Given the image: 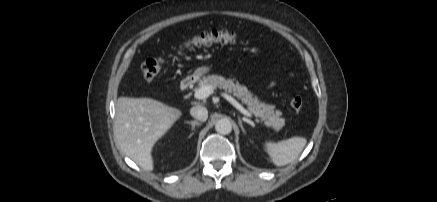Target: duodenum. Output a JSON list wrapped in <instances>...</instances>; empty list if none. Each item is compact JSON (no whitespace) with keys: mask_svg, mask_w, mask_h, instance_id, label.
<instances>
[{"mask_svg":"<svg viewBox=\"0 0 437 202\" xmlns=\"http://www.w3.org/2000/svg\"><path fill=\"white\" fill-rule=\"evenodd\" d=\"M194 82L195 79L192 76L184 78L180 83V90L182 92L187 91L193 85Z\"/></svg>","mask_w":437,"mask_h":202,"instance_id":"obj_1","label":"duodenum"}]
</instances>
